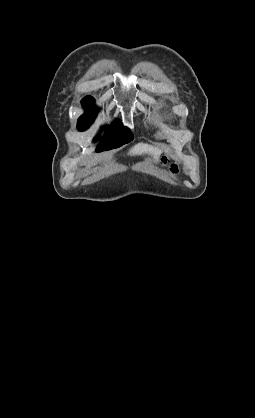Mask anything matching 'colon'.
<instances>
[{
	"instance_id": "obj_1",
	"label": "colon",
	"mask_w": 255,
	"mask_h": 418,
	"mask_svg": "<svg viewBox=\"0 0 255 418\" xmlns=\"http://www.w3.org/2000/svg\"><path fill=\"white\" fill-rule=\"evenodd\" d=\"M172 170H174V171H175V170H176V166H172Z\"/></svg>"
}]
</instances>
